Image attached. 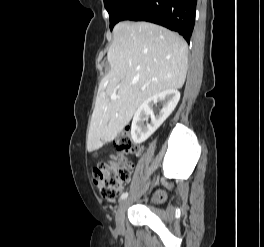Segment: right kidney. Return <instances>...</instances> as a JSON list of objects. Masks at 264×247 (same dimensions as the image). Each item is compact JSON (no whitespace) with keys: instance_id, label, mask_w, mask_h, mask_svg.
Masks as SVG:
<instances>
[{"instance_id":"right-kidney-1","label":"right kidney","mask_w":264,"mask_h":247,"mask_svg":"<svg viewBox=\"0 0 264 247\" xmlns=\"http://www.w3.org/2000/svg\"><path fill=\"white\" fill-rule=\"evenodd\" d=\"M179 99L180 92L178 90L167 89L144 101L133 117L131 125L132 140L138 144L146 141L173 112ZM157 102H161L163 107L159 114L155 116L152 106ZM148 116L151 118V123L145 126L144 121Z\"/></svg>"}]
</instances>
